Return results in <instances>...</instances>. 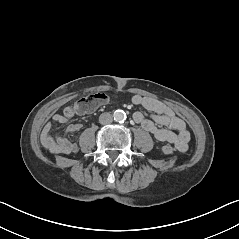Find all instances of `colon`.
<instances>
[{"label":"colon","instance_id":"obj_1","mask_svg":"<svg viewBox=\"0 0 239 239\" xmlns=\"http://www.w3.org/2000/svg\"><path fill=\"white\" fill-rule=\"evenodd\" d=\"M108 102V96L105 93H95L82 98L77 104L74 105V111L81 109H91L103 105ZM173 147L165 145L162 147V152L166 155L172 154Z\"/></svg>","mask_w":239,"mask_h":239}]
</instances>
